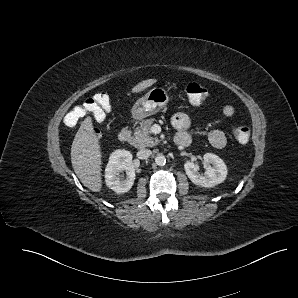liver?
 Listing matches in <instances>:
<instances>
[{
  "mask_svg": "<svg viewBox=\"0 0 298 298\" xmlns=\"http://www.w3.org/2000/svg\"><path fill=\"white\" fill-rule=\"evenodd\" d=\"M156 79L139 82L131 90L139 93L156 83ZM71 163L73 170L82 184L93 192H100L101 152L98 137L94 133L92 118L87 116L74 137L71 146Z\"/></svg>",
  "mask_w": 298,
  "mask_h": 298,
  "instance_id": "6515ba94",
  "label": "liver"
}]
</instances>
